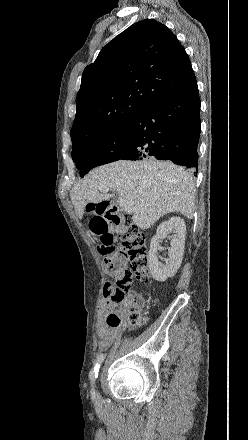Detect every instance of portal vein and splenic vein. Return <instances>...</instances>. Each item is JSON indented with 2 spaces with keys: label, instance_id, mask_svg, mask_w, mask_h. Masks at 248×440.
<instances>
[{
  "label": "portal vein and splenic vein",
  "instance_id": "18ae733b",
  "mask_svg": "<svg viewBox=\"0 0 248 440\" xmlns=\"http://www.w3.org/2000/svg\"><path fill=\"white\" fill-rule=\"evenodd\" d=\"M101 191L106 192V190L102 189ZM118 204L127 213H133L135 211V209L132 207V204L121 197L118 199Z\"/></svg>",
  "mask_w": 248,
  "mask_h": 440
}]
</instances>
